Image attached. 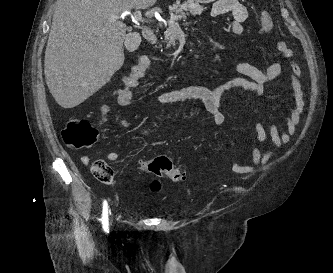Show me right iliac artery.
Wrapping results in <instances>:
<instances>
[{
  "label": "right iliac artery",
  "mask_w": 333,
  "mask_h": 273,
  "mask_svg": "<svg viewBox=\"0 0 333 273\" xmlns=\"http://www.w3.org/2000/svg\"><path fill=\"white\" fill-rule=\"evenodd\" d=\"M102 227L105 233H109V221H108V204L107 201L104 200L103 202V210H102Z\"/></svg>",
  "instance_id": "right-iliac-artery-1"
}]
</instances>
